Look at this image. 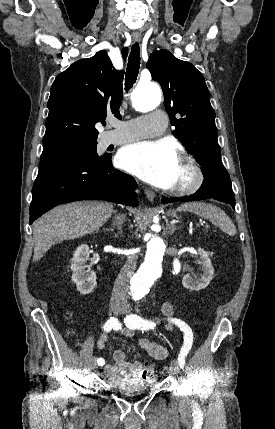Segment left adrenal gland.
I'll list each match as a JSON object with an SVG mask.
<instances>
[{"label": "left adrenal gland", "instance_id": "a2214340", "mask_svg": "<svg viewBox=\"0 0 275 429\" xmlns=\"http://www.w3.org/2000/svg\"><path fill=\"white\" fill-rule=\"evenodd\" d=\"M167 229H169V231H168V233L170 234V235H172L174 232H175V230L177 229V227L176 226H174V225H167Z\"/></svg>", "mask_w": 275, "mask_h": 429}]
</instances>
